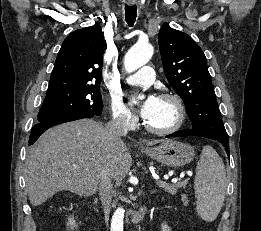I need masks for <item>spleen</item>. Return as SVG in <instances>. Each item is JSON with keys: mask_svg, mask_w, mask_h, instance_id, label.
<instances>
[{"mask_svg": "<svg viewBox=\"0 0 261 231\" xmlns=\"http://www.w3.org/2000/svg\"><path fill=\"white\" fill-rule=\"evenodd\" d=\"M194 183L197 213L203 220L212 222L222 208L227 178L222 158L209 145L203 147Z\"/></svg>", "mask_w": 261, "mask_h": 231, "instance_id": "3e777b00", "label": "spleen"}]
</instances>
